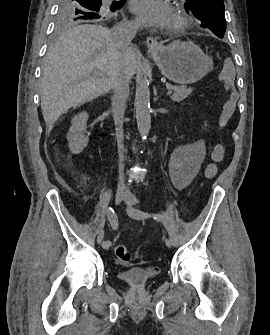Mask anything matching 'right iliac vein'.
<instances>
[{"mask_svg":"<svg viewBox=\"0 0 270 335\" xmlns=\"http://www.w3.org/2000/svg\"><path fill=\"white\" fill-rule=\"evenodd\" d=\"M126 192L124 187L120 186L118 187L116 194H115V203L120 204L124 198H125ZM104 238V231H101L97 236V242L100 244L103 241Z\"/></svg>","mask_w":270,"mask_h":335,"instance_id":"1","label":"right iliac vein"}]
</instances>
